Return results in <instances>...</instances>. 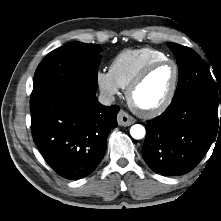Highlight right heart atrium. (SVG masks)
<instances>
[{
	"label": "right heart atrium",
	"instance_id": "right-heart-atrium-1",
	"mask_svg": "<svg viewBox=\"0 0 221 221\" xmlns=\"http://www.w3.org/2000/svg\"><path fill=\"white\" fill-rule=\"evenodd\" d=\"M96 82L99 90L108 98L119 93L120 87L108 71L99 70L96 73Z\"/></svg>",
	"mask_w": 221,
	"mask_h": 221
}]
</instances>
